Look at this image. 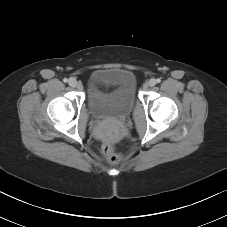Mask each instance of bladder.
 Masks as SVG:
<instances>
[{
    "label": "bladder",
    "instance_id": "31cf9c89",
    "mask_svg": "<svg viewBox=\"0 0 227 227\" xmlns=\"http://www.w3.org/2000/svg\"><path fill=\"white\" fill-rule=\"evenodd\" d=\"M115 86L112 93H102L101 87ZM135 78L125 70L107 68L94 71L89 79L88 106L97 119L127 116L135 105Z\"/></svg>",
    "mask_w": 227,
    "mask_h": 227
}]
</instances>
